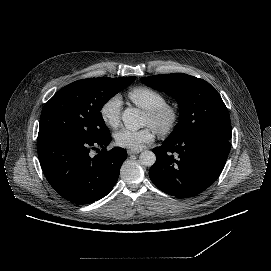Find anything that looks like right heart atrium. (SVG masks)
<instances>
[{
	"mask_svg": "<svg viewBox=\"0 0 271 271\" xmlns=\"http://www.w3.org/2000/svg\"><path fill=\"white\" fill-rule=\"evenodd\" d=\"M122 105V97L119 93L111 95L102 103L99 115L104 124L112 129L120 125Z\"/></svg>",
	"mask_w": 271,
	"mask_h": 271,
	"instance_id": "d8ad5b80",
	"label": "right heart atrium"
}]
</instances>
